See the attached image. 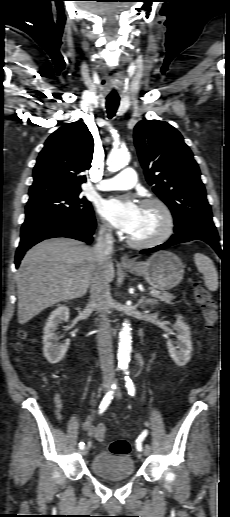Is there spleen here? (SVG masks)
Returning a JSON list of instances; mask_svg holds the SVG:
<instances>
[{"label": "spleen", "mask_w": 230, "mask_h": 517, "mask_svg": "<svg viewBox=\"0 0 230 517\" xmlns=\"http://www.w3.org/2000/svg\"><path fill=\"white\" fill-rule=\"evenodd\" d=\"M194 260L198 271L204 276L205 286L210 291H216L218 289V273L213 261L201 253H196Z\"/></svg>", "instance_id": "spleen-1"}]
</instances>
